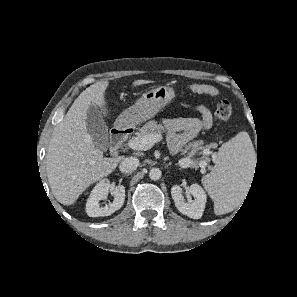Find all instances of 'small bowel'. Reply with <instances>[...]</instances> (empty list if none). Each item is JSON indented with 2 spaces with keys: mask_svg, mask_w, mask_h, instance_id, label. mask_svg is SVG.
Wrapping results in <instances>:
<instances>
[{
  "mask_svg": "<svg viewBox=\"0 0 297 297\" xmlns=\"http://www.w3.org/2000/svg\"><path fill=\"white\" fill-rule=\"evenodd\" d=\"M195 110L200 114V119L175 118L163 120V126L167 130L168 145L172 152H178L200 132L212 126L213 117L206 106L198 105Z\"/></svg>",
  "mask_w": 297,
  "mask_h": 297,
  "instance_id": "obj_1",
  "label": "small bowel"
}]
</instances>
